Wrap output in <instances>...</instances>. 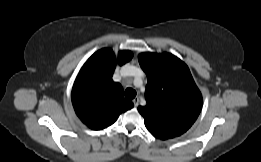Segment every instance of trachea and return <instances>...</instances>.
I'll return each instance as SVG.
<instances>
[{"mask_svg":"<svg viewBox=\"0 0 261 162\" xmlns=\"http://www.w3.org/2000/svg\"><path fill=\"white\" fill-rule=\"evenodd\" d=\"M136 91L132 88H127L125 90V97L128 99V100H132L136 97Z\"/></svg>","mask_w":261,"mask_h":162,"instance_id":"obj_1","label":"trachea"}]
</instances>
